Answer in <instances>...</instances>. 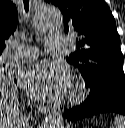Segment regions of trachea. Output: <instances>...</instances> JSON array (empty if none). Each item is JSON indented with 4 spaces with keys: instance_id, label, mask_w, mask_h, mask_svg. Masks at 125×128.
Returning a JSON list of instances; mask_svg holds the SVG:
<instances>
[{
    "instance_id": "obj_1",
    "label": "trachea",
    "mask_w": 125,
    "mask_h": 128,
    "mask_svg": "<svg viewBox=\"0 0 125 128\" xmlns=\"http://www.w3.org/2000/svg\"><path fill=\"white\" fill-rule=\"evenodd\" d=\"M23 2H24L25 11L28 12L29 11V0H23Z\"/></svg>"
}]
</instances>
